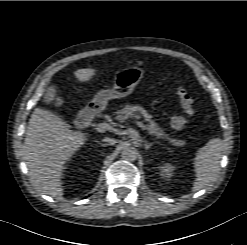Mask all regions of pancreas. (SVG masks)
I'll use <instances>...</instances> for the list:
<instances>
[{"instance_id":"cf45deb5","label":"pancreas","mask_w":247,"mask_h":245,"mask_svg":"<svg viewBox=\"0 0 247 245\" xmlns=\"http://www.w3.org/2000/svg\"><path fill=\"white\" fill-rule=\"evenodd\" d=\"M141 110L143 109L141 108L140 111ZM136 111H139V109H137L135 106L126 105L121 110H117L115 112V114L117 115L116 120L123 122L127 120L129 117L134 116ZM137 117L139 116L137 115ZM146 128L150 134L155 135L158 139H165L176 147H183L184 145H186V141L184 140H179L169 137L168 134H166L164 130L160 128L157 123L154 122L153 119L149 120V123L147 124Z\"/></svg>"}]
</instances>
